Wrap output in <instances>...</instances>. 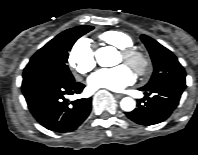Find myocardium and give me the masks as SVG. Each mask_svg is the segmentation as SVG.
Masks as SVG:
<instances>
[{"mask_svg": "<svg viewBox=\"0 0 198 155\" xmlns=\"http://www.w3.org/2000/svg\"><path fill=\"white\" fill-rule=\"evenodd\" d=\"M120 55L128 65H130L136 73L144 75L149 68V59L144 52L128 47L120 50Z\"/></svg>", "mask_w": 198, "mask_h": 155, "instance_id": "f54148a6", "label": "myocardium"}]
</instances>
